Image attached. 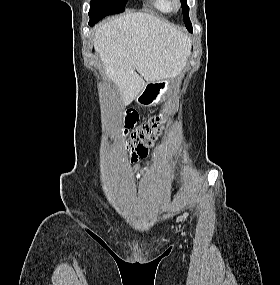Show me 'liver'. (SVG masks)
<instances>
[{
    "instance_id": "1",
    "label": "liver",
    "mask_w": 280,
    "mask_h": 285,
    "mask_svg": "<svg viewBox=\"0 0 280 285\" xmlns=\"http://www.w3.org/2000/svg\"><path fill=\"white\" fill-rule=\"evenodd\" d=\"M93 44L103 63V76L119 88L125 104L144 89L145 81L174 77L191 49L190 37L183 31L143 12L100 25Z\"/></svg>"
}]
</instances>
